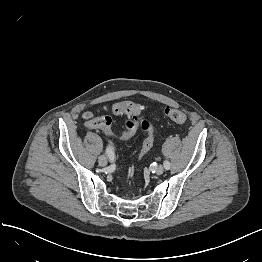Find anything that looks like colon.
<instances>
[{"mask_svg": "<svg viewBox=\"0 0 262 262\" xmlns=\"http://www.w3.org/2000/svg\"><path fill=\"white\" fill-rule=\"evenodd\" d=\"M111 112L115 115H127L124 128L119 133H113L111 131L112 119L109 116L93 117L91 113L87 112L83 115V119L89 128L104 129L107 134L112 135L121 141L131 139L138 129L143 130L146 133V137L143 141L140 155H145L153 146L155 130L149 122L140 120L143 107L132 101H121L112 105ZM165 114L168 118L179 125H184L186 123L187 117L185 113L179 109L167 107L165 109Z\"/></svg>", "mask_w": 262, "mask_h": 262, "instance_id": "colon-1", "label": "colon"}]
</instances>
